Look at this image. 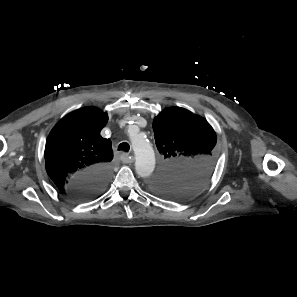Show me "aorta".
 <instances>
[{
    "label": "aorta",
    "mask_w": 297,
    "mask_h": 297,
    "mask_svg": "<svg viewBox=\"0 0 297 297\" xmlns=\"http://www.w3.org/2000/svg\"><path fill=\"white\" fill-rule=\"evenodd\" d=\"M135 154V170L138 176L147 178L155 168V155L149 141L140 132L130 134Z\"/></svg>",
    "instance_id": "aorta-1"
}]
</instances>
